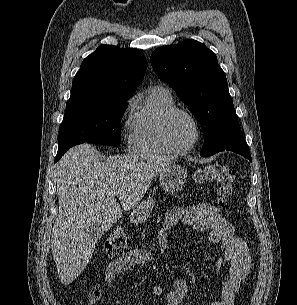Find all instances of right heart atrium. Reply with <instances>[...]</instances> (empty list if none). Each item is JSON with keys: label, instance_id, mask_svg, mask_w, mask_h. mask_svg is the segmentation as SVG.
I'll return each instance as SVG.
<instances>
[{"label": "right heart atrium", "instance_id": "right-heart-atrium-1", "mask_svg": "<svg viewBox=\"0 0 297 305\" xmlns=\"http://www.w3.org/2000/svg\"><path fill=\"white\" fill-rule=\"evenodd\" d=\"M132 104H133V99H130V100L128 101L127 106H126V108H125V110H124V112H123V115H122V120H123V121H126V120H127V117H128L129 112H130V109H131Z\"/></svg>", "mask_w": 297, "mask_h": 305}]
</instances>
